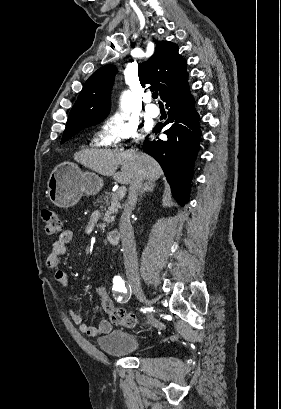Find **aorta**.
I'll list each match as a JSON object with an SVG mask.
<instances>
[{
    "label": "aorta",
    "mask_w": 281,
    "mask_h": 409,
    "mask_svg": "<svg viewBox=\"0 0 281 409\" xmlns=\"http://www.w3.org/2000/svg\"><path fill=\"white\" fill-rule=\"evenodd\" d=\"M129 100H130V97H129V95H125L124 96V98H123V104H122V107L125 109V110H127V107H128V105H129Z\"/></svg>",
    "instance_id": "aorta-1"
}]
</instances>
